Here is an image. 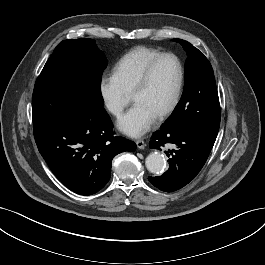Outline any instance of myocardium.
<instances>
[{"label": "myocardium", "mask_w": 265, "mask_h": 265, "mask_svg": "<svg viewBox=\"0 0 265 265\" xmlns=\"http://www.w3.org/2000/svg\"><path fill=\"white\" fill-rule=\"evenodd\" d=\"M165 58H171L173 59L176 64H177V68H178V81H177V86H176V90L173 96L172 101L170 102V104L162 111L160 112L157 116L156 119L158 120H162L164 118H166L167 116H169L171 113H173V111L177 108L181 96H182V92H183V87H184V67L182 65L181 60L173 53H161L158 56H156L154 59H152L144 68V70L142 71L141 75L139 76L135 86L133 87V90L131 92V99H133V97L140 93L141 91H143L146 86L148 85L152 72L154 70V68L156 67V65L163 59Z\"/></svg>", "instance_id": "obj_1"}]
</instances>
